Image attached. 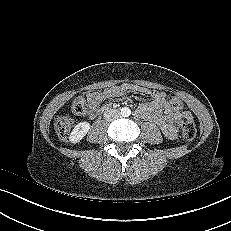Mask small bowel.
I'll use <instances>...</instances> for the list:
<instances>
[{
	"label": "small bowel",
	"mask_w": 231,
	"mask_h": 231,
	"mask_svg": "<svg viewBox=\"0 0 231 231\" xmlns=\"http://www.w3.org/2000/svg\"><path fill=\"white\" fill-rule=\"evenodd\" d=\"M129 91L140 93L148 98V101L139 105L136 115L156 124L164 136L169 139L177 137L179 125L183 120H192L190 112L174 109L164 92H151L146 88L131 84H122L103 91L89 93L86 99L82 98L88 104L86 113L92 118L96 117L107 108V105L102 104L103 101L121 97Z\"/></svg>",
	"instance_id": "1"
}]
</instances>
